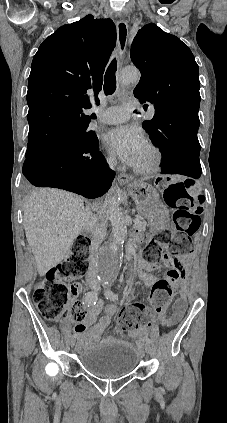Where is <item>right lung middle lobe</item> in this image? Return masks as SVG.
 <instances>
[{
    "instance_id": "1",
    "label": "right lung middle lobe",
    "mask_w": 227,
    "mask_h": 423,
    "mask_svg": "<svg viewBox=\"0 0 227 423\" xmlns=\"http://www.w3.org/2000/svg\"><path fill=\"white\" fill-rule=\"evenodd\" d=\"M97 141L98 139L96 135L94 133H91L87 135L86 137L71 143L70 145H68L67 149L71 151L82 150L84 148H87L91 144L96 143ZM31 156L33 155H25L26 158Z\"/></svg>"
}]
</instances>
